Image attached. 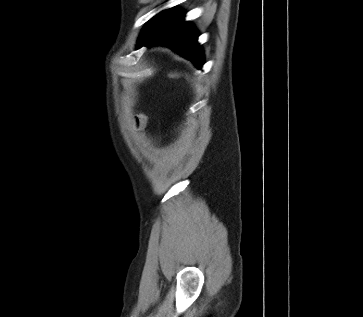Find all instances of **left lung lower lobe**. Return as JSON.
<instances>
[{
  "label": "left lung lower lobe",
  "instance_id": "0a47b994",
  "mask_svg": "<svg viewBox=\"0 0 363 317\" xmlns=\"http://www.w3.org/2000/svg\"><path fill=\"white\" fill-rule=\"evenodd\" d=\"M198 33L189 22H183V14L176 8L163 11L153 17L139 38L138 47L165 45L191 60L198 69L203 65V53L196 43Z\"/></svg>",
  "mask_w": 363,
  "mask_h": 317
}]
</instances>
